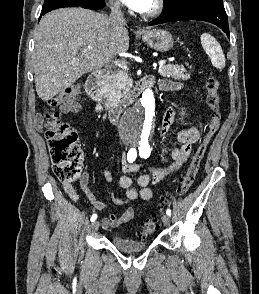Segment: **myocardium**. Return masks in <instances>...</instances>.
Listing matches in <instances>:
<instances>
[{
    "label": "myocardium",
    "instance_id": "f54148a6",
    "mask_svg": "<svg viewBox=\"0 0 259 294\" xmlns=\"http://www.w3.org/2000/svg\"><path fill=\"white\" fill-rule=\"evenodd\" d=\"M164 6L165 0H154L153 8L147 12H142L141 16L143 18H154L163 12Z\"/></svg>",
    "mask_w": 259,
    "mask_h": 294
}]
</instances>
